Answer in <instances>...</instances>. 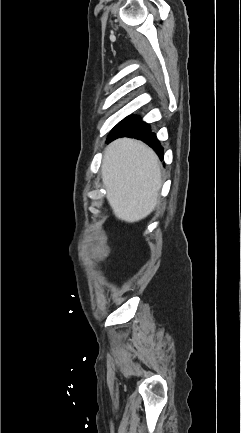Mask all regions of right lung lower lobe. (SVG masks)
<instances>
[{
    "label": "right lung lower lobe",
    "mask_w": 241,
    "mask_h": 433,
    "mask_svg": "<svg viewBox=\"0 0 241 433\" xmlns=\"http://www.w3.org/2000/svg\"><path fill=\"white\" fill-rule=\"evenodd\" d=\"M131 137L144 141L150 147H152L155 152L159 155L160 159L163 158V148L161 147L159 141L156 138L155 133L151 131V127L149 124L143 122L141 119H138L135 123H133L127 130L122 133L110 135L107 138V142H110L119 137Z\"/></svg>",
    "instance_id": "obj_1"
}]
</instances>
